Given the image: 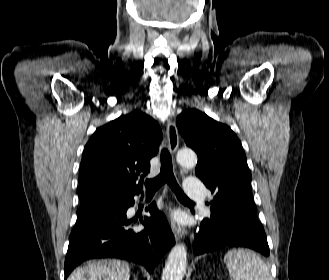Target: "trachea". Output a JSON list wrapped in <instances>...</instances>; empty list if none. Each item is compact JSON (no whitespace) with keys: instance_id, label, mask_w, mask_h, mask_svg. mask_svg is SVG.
<instances>
[{"instance_id":"obj_1","label":"trachea","mask_w":329,"mask_h":280,"mask_svg":"<svg viewBox=\"0 0 329 280\" xmlns=\"http://www.w3.org/2000/svg\"><path fill=\"white\" fill-rule=\"evenodd\" d=\"M167 183L175 195L183 200L190 203H193L182 191L179 187L176 178L173 173L172 167V159L171 155L167 148H163L161 151V169L160 174L153 179H148L145 181L146 190L149 191H156L162 185Z\"/></svg>"}]
</instances>
